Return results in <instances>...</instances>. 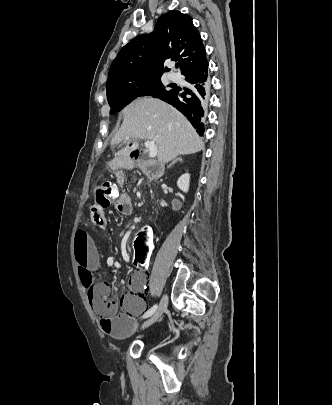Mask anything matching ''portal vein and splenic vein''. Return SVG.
<instances>
[{"label":"portal vein and splenic vein","instance_id":"obj_1","mask_svg":"<svg viewBox=\"0 0 332 405\" xmlns=\"http://www.w3.org/2000/svg\"><path fill=\"white\" fill-rule=\"evenodd\" d=\"M144 146L148 150L150 158H155L157 156V146L153 141H145Z\"/></svg>","mask_w":332,"mask_h":405}]
</instances>
